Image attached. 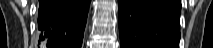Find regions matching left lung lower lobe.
I'll use <instances>...</instances> for the list:
<instances>
[{"instance_id":"left-lung-lower-lobe-1","label":"left lung lower lobe","mask_w":213,"mask_h":48,"mask_svg":"<svg viewBox=\"0 0 213 48\" xmlns=\"http://www.w3.org/2000/svg\"><path fill=\"white\" fill-rule=\"evenodd\" d=\"M181 0H118L121 48H178Z\"/></svg>"}]
</instances>
